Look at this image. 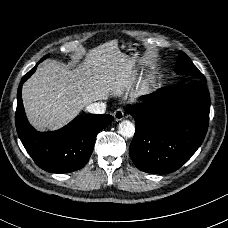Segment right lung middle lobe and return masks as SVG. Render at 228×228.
<instances>
[{
	"label": "right lung middle lobe",
	"mask_w": 228,
	"mask_h": 228,
	"mask_svg": "<svg viewBox=\"0 0 228 228\" xmlns=\"http://www.w3.org/2000/svg\"><path fill=\"white\" fill-rule=\"evenodd\" d=\"M48 57V55L47 56H45V57H43L40 61H43L44 59H46Z\"/></svg>",
	"instance_id": "dd1d6c3e"
}]
</instances>
